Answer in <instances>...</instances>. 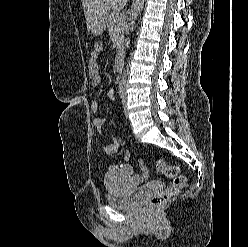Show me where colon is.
Here are the masks:
<instances>
[{
    "instance_id": "5ec220e1",
    "label": "colon",
    "mask_w": 248,
    "mask_h": 247,
    "mask_svg": "<svg viewBox=\"0 0 248 247\" xmlns=\"http://www.w3.org/2000/svg\"><path fill=\"white\" fill-rule=\"evenodd\" d=\"M101 47V42H97L94 45V49H100ZM138 164L142 174L147 177L148 168L146 164L142 160H139ZM155 169L158 173L165 175L172 181L162 194L154 197L150 202V205L153 209H159L179 194L181 189L184 188L187 184V177L181 174L179 167L175 165H169L162 159L156 161Z\"/></svg>"
}]
</instances>
